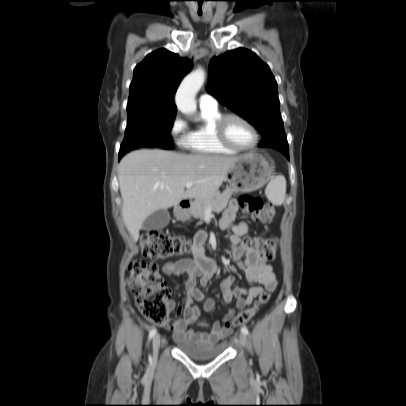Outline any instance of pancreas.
<instances>
[{"instance_id":"cf45deb5","label":"pancreas","mask_w":406,"mask_h":406,"mask_svg":"<svg viewBox=\"0 0 406 406\" xmlns=\"http://www.w3.org/2000/svg\"><path fill=\"white\" fill-rule=\"evenodd\" d=\"M232 192V189H227L223 193L215 192L207 197L196 198L192 204L191 214L195 218H203L206 211L221 212L227 207Z\"/></svg>"}]
</instances>
